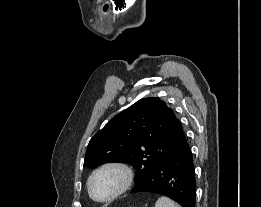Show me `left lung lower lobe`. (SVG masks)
Here are the masks:
<instances>
[{"label": "left lung lower lobe", "mask_w": 261, "mask_h": 207, "mask_svg": "<svg viewBox=\"0 0 261 207\" xmlns=\"http://www.w3.org/2000/svg\"><path fill=\"white\" fill-rule=\"evenodd\" d=\"M196 181L192 152L184 136L178 149L148 177L138 182L131 193H157L182 207H195Z\"/></svg>", "instance_id": "0a47b994"}]
</instances>
